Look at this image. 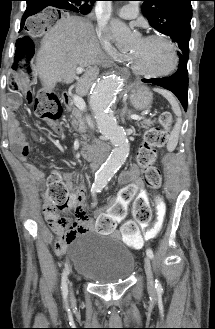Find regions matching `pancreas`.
I'll return each mask as SVG.
<instances>
[{
    "instance_id": "pancreas-1",
    "label": "pancreas",
    "mask_w": 215,
    "mask_h": 329,
    "mask_svg": "<svg viewBox=\"0 0 215 329\" xmlns=\"http://www.w3.org/2000/svg\"><path fill=\"white\" fill-rule=\"evenodd\" d=\"M71 119H72V121H71L72 128L75 131L79 132L80 134H83L87 128L85 119L82 116L81 112L75 107L71 108ZM153 124H154V122L151 121L150 119H145V120L141 121L140 123H137L138 126L144 128V129H148Z\"/></svg>"
}]
</instances>
